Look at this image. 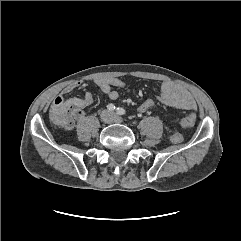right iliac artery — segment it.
<instances>
[{"label":"right iliac artery","mask_w":241,"mask_h":241,"mask_svg":"<svg viewBox=\"0 0 241 241\" xmlns=\"http://www.w3.org/2000/svg\"><path fill=\"white\" fill-rule=\"evenodd\" d=\"M107 109H108L109 111H114V110H115V105H114V104H109V105L107 106Z\"/></svg>","instance_id":"obj_1"}]
</instances>
